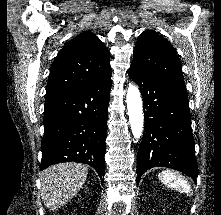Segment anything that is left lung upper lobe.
<instances>
[{"mask_svg": "<svg viewBox=\"0 0 221 215\" xmlns=\"http://www.w3.org/2000/svg\"><path fill=\"white\" fill-rule=\"evenodd\" d=\"M131 67L185 89L182 67L175 49L167 39L152 30H146L138 37Z\"/></svg>", "mask_w": 221, "mask_h": 215, "instance_id": "1", "label": "left lung upper lobe"}]
</instances>
